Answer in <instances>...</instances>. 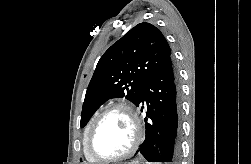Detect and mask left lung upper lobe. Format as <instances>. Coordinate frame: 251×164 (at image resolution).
<instances>
[{"label": "left lung upper lobe", "mask_w": 251, "mask_h": 164, "mask_svg": "<svg viewBox=\"0 0 251 164\" xmlns=\"http://www.w3.org/2000/svg\"><path fill=\"white\" fill-rule=\"evenodd\" d=\"M171 54L157 27L149 23L133 27L100 58L87 88L80 124L110 98L125 97L137 106L146 81Z\"/></svg>", "instance_id": "left-lung-upper-lobe-1"}]
</instances>
